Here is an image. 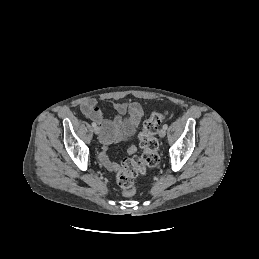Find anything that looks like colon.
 <instances>
[{
    "instance_id": "colon-1",
    "label": "colon",
    "mask_w": 259,
    "mask_h": 259,
    "mask_svg": "<svg viewBox=\"0 0 259 259\" xmlns=\"http://www.w3.org/2000/svg\"><path fill=\"white\" fill-rule=\"evenodd\" d=\"M167 118L166 112H152L143 123L139 134V143L142 148L141 156L125 159L116 170V180L126 197L133 196L136 192L135 179L146 173L148 168L158 165V141L155 137L160 124Z\"/></svg>"
}]
</instances>
